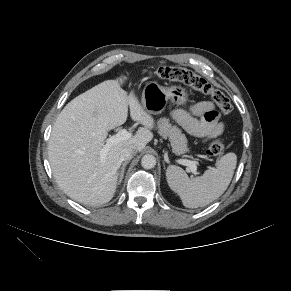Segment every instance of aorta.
I'll use <instances>...</instances> for the list:
<instances>
[{
  "label": "aorta",
  "instance_id": "aorta-1",
  "mask_svg": "<svg viewBox=\"0 0 291 291\" xmlns=\"http://www.w3.org/2000/svg\"><path fill=\"white\" fill-rule=\"evenodd\" d=\"M141 165L145 169H151L156 165V158L151 154H146L141 159Z\"/></svg>",
  "mask_w": 291,
  "mask_h": 291
}]
</instances>
